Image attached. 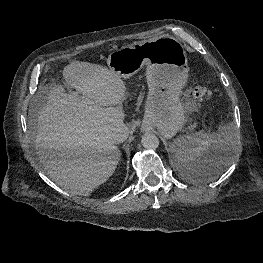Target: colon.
Listing matches in <instances>:
<instances>
[{
	"instance_id": "5ec220e1",
	"label": "colon",
	"mask_w": 263,
	"mask_h": 263,
	"mask_svg": "<svg viewBox=\"0 0 263 263\" xmlns=\"http://www.w3.org/2000/svg\"><path fill=\"white\" fill-rule=\"evenodd\" d=\"M192 96L198 101H209L212 99V92L205 86H196L192 90Z\"/></svg>"
}]
</instances>
